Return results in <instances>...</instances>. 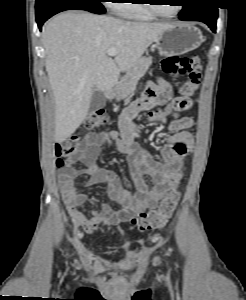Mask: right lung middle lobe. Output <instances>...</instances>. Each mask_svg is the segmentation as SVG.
Segmentation results:
<instances>
[{"label": "right lung middle lobe", "instance_id": "right-lung-middle-lobe-1", "mask_svg": "<svg viewBox=\"0 0 246 300\" xmlns=\"http://www.w3.org/2000/svg\"><path fill=\"white\" fill-rule=\"evenodd\" d=\"M55 1H61V0H36L35 8H36V10L41 9L44 6H46L47 4H49L51 2H55ZM74 1L83 3L88 8H90L91 10H94L98 14H103L106 11L104 6L101 4L102 0H74Z\"/></svg>", "mask_w": 246, "mask_h": 300}]
</instances>
